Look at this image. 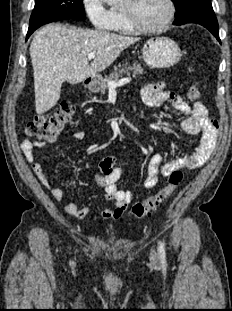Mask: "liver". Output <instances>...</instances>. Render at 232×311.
I'll return each mask as SVG.
<instances>
[{
  "instance_id": "6515ba94",
  "label": "liver",
  "mask_w": 232,
  "mask_h": 311,
  "mask_svg": "<svg viewBox=\"0 0 232 311\" xmlns=\"http://www.w3.org/2000/svg\"><path fill=\"white\" fill-rule=\"evenodd\" d=\"M139 40L60 24H49L40 29L30 45L37 114L47 112L58 102L64 81L77 84L95 76ZM90 52H96L91 64L88 61Z\"/></svg>"
}]
</instances>
